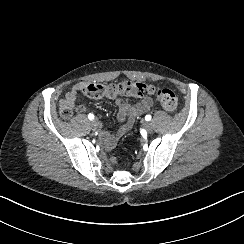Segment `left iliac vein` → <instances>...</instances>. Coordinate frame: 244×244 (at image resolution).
<instances>
[{
	"label": "left iliac vein",
	"instance_id": "1",
	"mask_svg": "<svg viewBox=\"0 0 244 244\" xmlns=\"http://www.w3.org/2000/svg\"><path fill=\"white\" fill-rule=\"evenodd\" d=\"M142 126L147 131V133H152L154 130L153 125L150 122H144Z\"/></svg>",
	"mask_w": 244,
	"mask_h": 244
}]
</instances>
